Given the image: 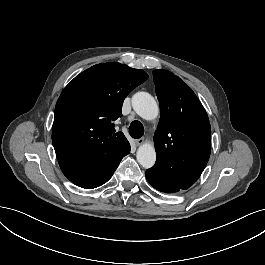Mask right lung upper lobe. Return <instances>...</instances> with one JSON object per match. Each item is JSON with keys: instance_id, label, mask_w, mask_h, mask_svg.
I'll return each mask as SVG.
<instances>
[{"instance_id": "right-lung-upper-lobe-1", "label": "right lung upper lobe", "mask_w": 265, "mask_h": 265, "mask_svg": "<svg viewBox=\"0 0 265 265\" xmlns=\"http://www.w3.org/2000/svg\"><path fill=\"white\" fill-rule=\"evenodd\" d=\"M148 75L118 62L97 64L77 75L62 91L54 113L52 143L56 153L101 152L128 142L115 133L125 97Z\"/></svg>"}]
</instances>
